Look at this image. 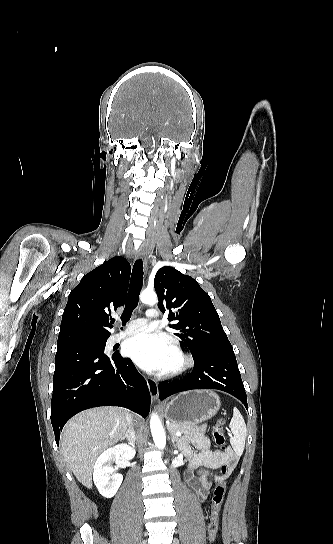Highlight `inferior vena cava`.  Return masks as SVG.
Here are the masks:
<instances>
[{
    "label": "inferior vena cava",
    "mask_w": 333,
    "mask_h": 544,
    "mask_svg": "<svg viewBox=\"0 0 333 544\" xmlns=\"http://www.w3.org/2000/svg\"><path fill=\"white\" fill-rule=\"evenodd\" d=\"M125 415H126V422H127V424H128V427H129V428H128V431L131 430V429L133 430V428L131 427V424H132V417H131L130 413H129L128 411H126V412H125Z\"/></svg>",
    "instance_id": "602c4592"
}]
</instances>
